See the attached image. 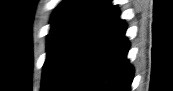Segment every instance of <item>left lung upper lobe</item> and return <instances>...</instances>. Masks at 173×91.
<instances>
[{
  "label": "left lung upper lobe",
  "mask_w": 173,
  "mask_h": 91,
  "mask_svg": "<svg viewBox=\"0 0 173 91\" xmlns=\"http://www.w3.org/2000/svg\"><path fill=\"white\" fill-rule=\"evenodd\" d=\"M111 0H64L54 11L47 38L42 91H51L69 58L103 16Z\"/></svg>",
  "instance_id": "1"
}]
</instances>
